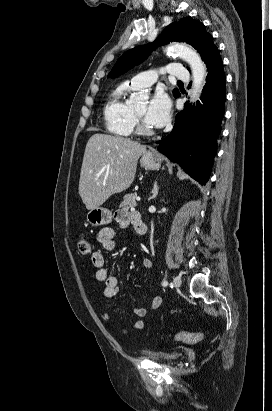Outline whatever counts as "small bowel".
<instances>
[{"label":"small bowel","instance_id":"small-bowel-1","mask_svg":"<svg viewBox=\"0 0 272 411\" xmlns=\"http://www.w3.org/2000/svg\"><path fill=\"white\" fill-rule=\"evenodd\" d=\"M139 216L137 212H131L129 210H120L115 214V219L122 229H126L129 226L134 227L133 218ZM116 232L113 228L106 227L101 229L97 234V240L102 245V247L107 251H113L116 248L115 241ZM91 260L96 268V279L104 285L103 295L106 298H113L119 292V281L116 276L110 274L106 267L105 258L102 251L97 250L91 254ZM142 267L145 271H150L153 268V262L150 259L142 260ZM162 303V298L156 296L152 299L150 310H156ZM132 313L138 318L133 321L131 327L134 330L141 331L144 329L145 324L141 320L148 313V309L144 307H136L132 310ZM104 320L109 323L112 327L123 334H127V329L121 325L114 322L112 316L105 312L103 314Z\"/></svg>","mask_w":272,"mask_h":411}]
</instances>
